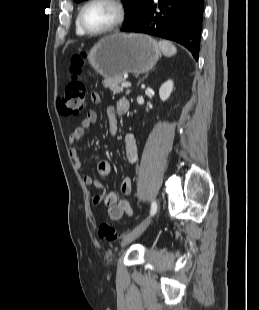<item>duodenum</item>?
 <instances>
[{
    "label": "duodenum",
    "instance_id": "duodenum-1",
    "mask_svg": "<svg viewBox=\"0 0 259 310\" xmlns=\"http://www.w3.org/2000/svg\"><path fill=\"white\" fill-rule=\"evenodd\" d=\"M128 111V105H122L119 109L118 112L119 113H126Z\"/></svg>",
    "mask_w": 259,
    "mask_h": 310
}]
</instances>
